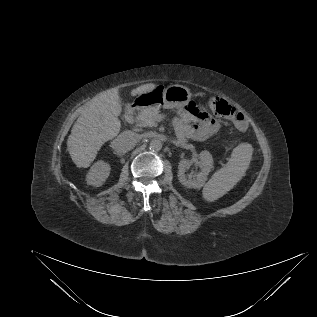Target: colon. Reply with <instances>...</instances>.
<instances>
[{"label":"colon","instance_id":"1","mask_svg":"<svg viewBox=\"0 0 317 317\" xmlns=\"http://www.w3.org/2000/svg\"><path fill=\"white\" fill-rule=\"evenodd\" d=\"M208 104L212 111L218 115L233 121L238 129L247 128V120L241 112L230 106L225 100L211 97Z\"/></svg>","mask_w":317,"mask_h":317}]
</instances>
